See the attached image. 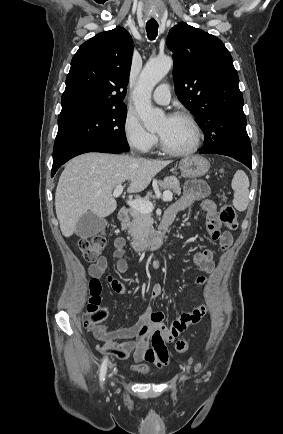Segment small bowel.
Instances as JSON below:
<instances>
[{
  "label": "small bowel",
  "instance_id": "c3829d8e",
  "mask_svg": "<svg viewBox=\"0 0 283 434\" xmlns=\"http://www.w3.org/2000/svg\"><path fill=\"white\" fill-rule=\"evenodd\" d=\"M208 195L209 188L204 182L192 181L187 183L182 196L166 211L164 221L171 224L182 211L199 202L206 214L207 229L211 239L222 249H227L232 244V234L221 229L217 206L213 200L208 198ZM124 247L125 239L123 237L115 238L113 255L117 259L116 268L119 273H125L128 269L127 261L124 259ZM193 260L207 273L212 272L214 269L213 251L209 248L196 252L193 255ZM88 272L95 279L104 277L115 292H125L123 283L109 274L108 261L105 256H100L94 264L90 265ZM196 282L199 286H204L206 278L200 276ZM160 294L161 287L155 285L150 299L155 300ZM206 313L207 307L204 303H201L191 311L180 313L172 324L167 326L164 324V314L162 312L147 310L132 326L109 330L106 326L100 325L91 328V332L94 338L104 342L101 347L103 354L111 355L120 360H125L133 355L136 363L149 362L158 367H163L169 361L166 343L172 342L187 326L198 323ZM135 369L144 371L146 366L138 364Z\"/></svg>",
  "mask_w": 283,
  "mask_h": 434
}]
</instances>
